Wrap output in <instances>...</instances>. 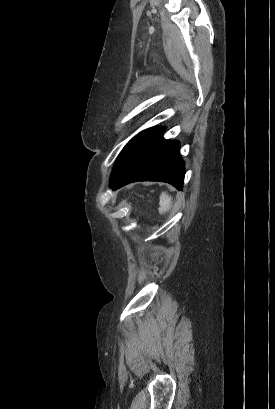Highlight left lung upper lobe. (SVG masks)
<instances>
[{"label": "left lung upper lobe", "instance_id": "1", "mask_svg": "<svg viewBox=\"0 0 275 409\" xmlns=\"http://www.w3.org/2000/svg\"><path fill=\"white\" fill-rule=\"evenodd\" d=\"M144 130L142 132H140L139 134H137L135 137H133L127 144L126 146L123 148V150L121 151V153L119 154L116 162H115V166L113 168L111 177H110V185L115 181V179L118 177V175L121 173V171L123 170L124 164L126 162V159L128 157V154L130 152V150L132 149V147L135 145V143L148 131Z\"/></svg>", "mask_w": 275, "mask_h": 409}]
</instances>
